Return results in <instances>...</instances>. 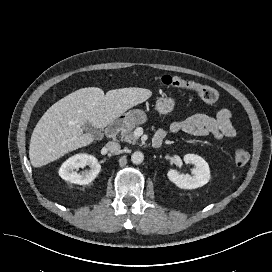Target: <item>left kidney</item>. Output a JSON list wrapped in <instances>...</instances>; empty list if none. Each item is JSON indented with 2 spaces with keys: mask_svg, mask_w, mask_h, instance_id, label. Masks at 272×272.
I'll return each instance as SVG.
<instances>
[{
  "mask_svg": "<svg viewBox=\"0 0 272 272\" xmlns=\"http://www.w3.org/2000/svg\"><path fill=\"white\" fill-rule=\"evenodd\" d=\"M186 164H193L194 176L181 174L175 169H170L167 176L171 182L181 189H196L207 184L211 178L208 163L200 156L195 154H186L183 158Z\"/></svg>",
  "mask_w": 272,
  "mask_h": 272,
  "instance_id": "1",
  "label": "left kidney"
}]
</instances>
